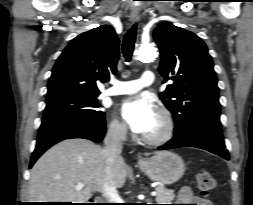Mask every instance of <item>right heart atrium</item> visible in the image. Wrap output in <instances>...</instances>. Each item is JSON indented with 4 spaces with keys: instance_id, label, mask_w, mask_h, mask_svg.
<instances>
[{
    "instance_id": "right-heart-atrium-1",
    "label": "right heart atrium",
    "mask_w": 253,
    "mask_h": 205,
    "mask_svg": "<svg viewBox=\"0 0 253 205\" xmlns=\"http://www.w3.org/2000/svg\"><path fill=\"white\" fill-rule=\"evenodd\" d=\"M109 132L113 137L122 139L127 134V128L123 122L113 118L109 124Z\"/></svg>"
}]
</instances>
